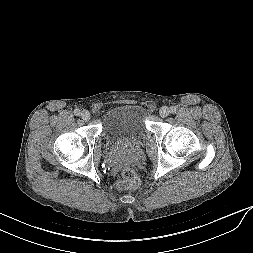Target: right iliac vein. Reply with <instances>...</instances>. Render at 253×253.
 <instances>
[{
	"label": "right iliac vein",
	"instance_id": "obj_1",
	"mask_svg": "<svg viewBox=\"0 0 253 253\" xmlns=\"http://www.w3.org/2000/svg\"><path fill=\"white\" fill-rule=\"evenodd\" d=\"M81 118L84 120V121H88L90 119V113L87 111V110H83L81 112Z\"/></svg>",
	"mask_w": 253,
	"mask_h": 253
}]
</instances>
